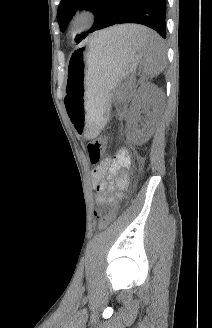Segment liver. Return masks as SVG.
I'll return each mask as SVG.
<instances>
[{"label": "liver", "instance_id": "liver-1", "mask_svg": "<svg viewBox=\"0 0 212 328\" xmlns=\"http://www.w3.org/2000/svg\"><path fill=\"white\" fill-rule=\"evenodd\" d=\"M134 25H119L99 32L92 40L110 39L133 40Z\"/></svg>", "mask_w": 212, "mask_h": 328}]
</instances>
